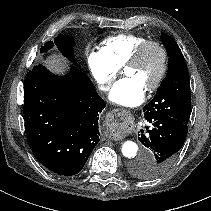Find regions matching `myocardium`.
Returning a JSON list of instances; mask_svg holds the SVG:
<instances>
[{
    "label": "myocardium",
    "mask_w": 211,
    "mask_h": 211,
    "mask_svg": "<svg viewBox=\"0 0 211 211\" xmlns=\"http://www.w3.org/2000/svg\"><path fill=\"white\" fill-rule=\"evenodd\" d=\"M150 48L157 49L161 55V66L158 76L155 81L146 89L148 92H154L162 85L168 71V52L161 42L156 40L144 41L135 49L132 55L125 62L124 69L128 66L137 64L145 52Z\"/></svg>",
    "instance_id": "obj_1"
}]
</instances>
